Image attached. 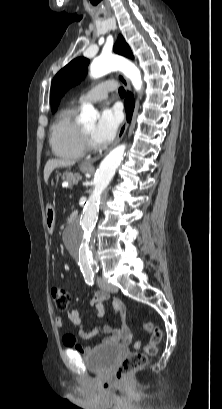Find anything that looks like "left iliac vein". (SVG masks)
<instances>
[{"label": "left iliac vein", "instance_id": "4c4485c4", "mask_svg": "<svg viewBox=\"0 0 222 409\" xmlns=\"http://www.w3.org/2000/svg\"><path fill=\"white\" fill-rule=\"evenodd\" d=\"M98 282L102 290L106 293H116L118 291V288L115 285L108 283L105 279H98Z\"/></svg>", "mask_w": 222, "mask_h": 409}]
</instances>
